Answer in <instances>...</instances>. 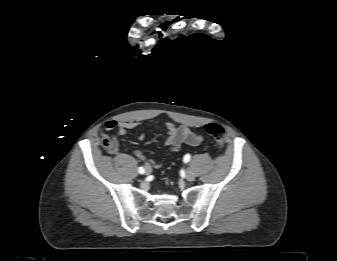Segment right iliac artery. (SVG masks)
<instances>
[{"mask_svg":"<svg viewBox=\"0 0 337 261\" xmlns=\"http://www.w3.org/2000/svg\"><path fill=\"white\" fill-rule=\"evenodd\" d=\"M138 171L140 174H144L145 173V169L143 167H139Z\"/></svg>","mask_w":337,"mask_h":261,"instance_id":"82829eb1","label":"right iliac artery"}]
</instances>
